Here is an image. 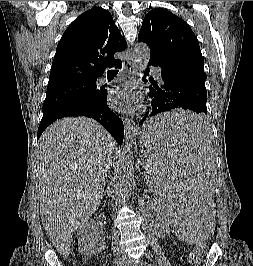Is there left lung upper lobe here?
<instances>
[{
    "instance_id": "1",
    "label": "left lung upper lobe",
    "mask_w": 253,
    "mask_h": 266,
    "mask_svg": "<svg viewBox=\"0 0 253 266\" xmlns=\"http://www.w3.org/2000/svg\"><path fill=\"white\" fill-rule=\"evenodd\" d=\"M138 40L146 43L151 56L182 58L204 68L198 40L188 24L164 9H153L143 19Z\"/></svg>"
}]
</instances>
